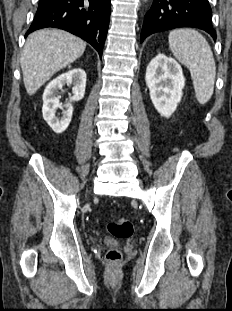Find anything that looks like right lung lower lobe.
<instances>
[{
    "label": "right lung lower lobe",
    "instance_id": "1",
    "mask_svg": "<svg viewBox=\"0 0 232 311\" xmlns=\"http://www.w3.org/2000/svg\"><path fill=\"white\" fill-rule=\"evenodd\" d=\"M110 12V0H40L25 37L41 28H60L90 43L102 57Z\"/></svg>",
    "mask_w": 232,
    "mask_h": 311
}]
</instances>
